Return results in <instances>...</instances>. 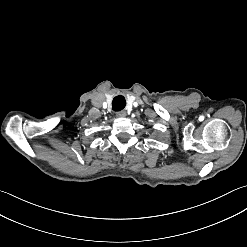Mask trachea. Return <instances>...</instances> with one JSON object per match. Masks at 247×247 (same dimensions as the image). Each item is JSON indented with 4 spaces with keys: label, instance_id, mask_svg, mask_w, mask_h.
<instances>
[{
    "label": "trachea",
    "instance_id": "1",
    "mask_svg": "<svg viewBox=\"0 0 247 247\" xmlns=\"http://www.w3.org/2000/svg\"><path fill=\"white\" fill-rule=\"evenodd\" d=\"M115 107L119 108L118 110H121L122 108H124V106L126 105V101L124 99L123 96H118L115 97L112 103Z\"/></svg>",
    "mask_w": 247,
    "mask_h": 247
}]
</instances>
